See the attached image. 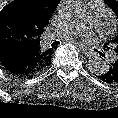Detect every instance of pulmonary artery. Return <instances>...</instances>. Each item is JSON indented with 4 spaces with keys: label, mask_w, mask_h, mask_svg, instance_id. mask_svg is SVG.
Wrapping results in <instances>:
<instances>
[{
    "label": "pulmonary artery",
    "mask_w": 118,
    "mask_h": 118,
    "mask_svg": "<svg viewBox=\"0 0 118 118\" xmlns=\"http://www.w3.org/2000/svg\"><path fill=\"white\" fill-rule=\"evenodd\" d=\"M105 14V5L102 0H89L85 6L82 14L74 21L66 24L63 28L55 31L54 36L62 38H75L86 30L89 26L96 24ZM116 54L109 55V61L116 60Z\"/></svg>",
    "instance_id": "obj_1"
}]
</instances>
